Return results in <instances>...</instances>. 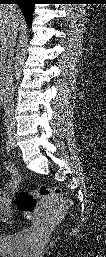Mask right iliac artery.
I'll return each mask as SVG.
<instances>
[{"label": "right iliac artery", "instance_id": "obj_1", "mask_svg": "<svg viewBox=\"0 0 106 257\" xmlns=\"http://www.w3.org/2000/svg\"><path fill=\"white\" fill-rule=\"evenodd\" d=\"M5 149H6L7 154H9L11 152L12 146L9 141L6 142Z\"/></svg>", "mask_w": 106, "mask_h": 257}]
</instances>
